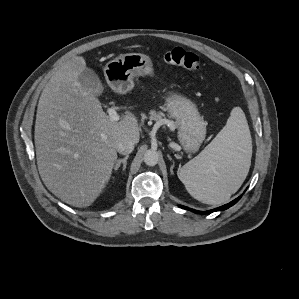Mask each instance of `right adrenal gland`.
Segmentation results:
<instances>
[{
    "mask_svg": "<svg viewBox=\"0 0 299 299\" xmlns=\"http://www.w3.org/2000/svg\"><path fill=\"white\" fill-rule=\"evenodd\" d=\"M128 158H129V155H126L124 158L118 159L114 166V170L117 171L119 169V167L121 166V164H123V171H125Z\"/></svg>",
    "mask_w": 299,
    "mask_h": 299,
    "instance_id": "obj_1",
    "label": "right adrenal gland"
}]
</instances>
